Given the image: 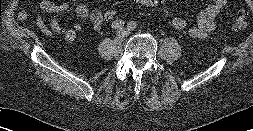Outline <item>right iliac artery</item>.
I'll use <instances>...</instances> for the list:
<instances>
[{
    "instance_id": "right-iliac-artery-1",
    "label": "right iliac artery",
    "mask_w": 253,
    "mask_h": 131,
    "mask_svg": "<svg viewBox=\"0 0 253 131\" xmlns=\"http://www.w3.org/2000/svg\"><path fill=\"white\" fill-rule=\"evenodd\" d=\"M125 25V22L123 20H116L115 22L112 23L111 27L112 29H121Z\"/></svg>"
}]
</instances>
